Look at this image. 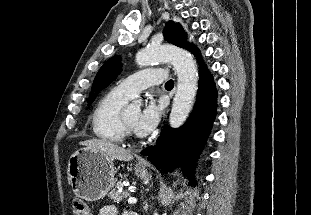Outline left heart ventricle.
Listing matches in <instances>:
<instances>
[{
    "mask_svg": "<svg viewBox=\"0 0 311 215\" xmlns=\"http://www.w3.org/2000/svg\"><path fill=\"white\" fill-rule=\"evenodd\" d=\"M140 113V109L138 107H131L125 111V116L128 123L133 127L134 123Z\"/></svg>",
    "mask_w": 311,
    "mask_h": 215,
    "instance_id": "b2bd125f",
    "label": "left heart ventricle"
}]
</instances>
